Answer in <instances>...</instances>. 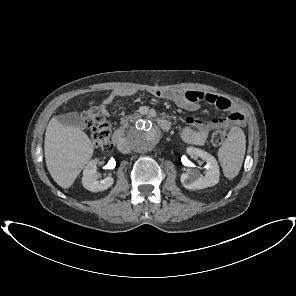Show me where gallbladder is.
<instances>
[{"label":"gallbladder","mask_w":296,"mask_h":296,"mask_svg":"<svg viewBox=\"0 0 296 296\" xmlns=\"http://www.w3.org/2000/svg\"><path fill=\"white\" fill-rule=\"evenodd\" d=\"M57 120L64 126L82 127L83 121L78 113H66L57 116Z\"/></svg>","instance_id":"gallbladder-1"}]
</instances>
